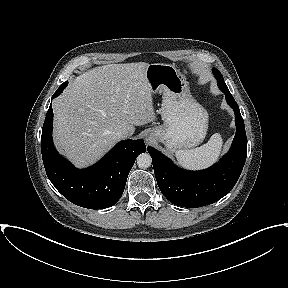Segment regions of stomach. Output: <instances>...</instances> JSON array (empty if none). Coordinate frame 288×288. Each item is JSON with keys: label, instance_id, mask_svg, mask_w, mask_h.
Wrapping results in <instances>:
<instances>
[{"label": "stomach", "instance_id": "stomach-1", "mask_svg": "<svg viewBox=\"0 0 288 288\" xmlns=\"http://www.w3.org/2000/svg\"><path fill=\"white\" fill-rule=\"evenodd\" d=\"M145 76L152 93L162 94L163 124L149 131L150 138L172 152L198 146L207 134L209 116L191 95L185 76L164 63L149 64Z\"/></svg>", "mask_w": 288, "mask_h": 288}]
</instances>
